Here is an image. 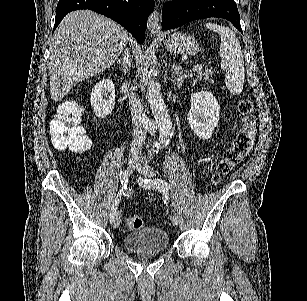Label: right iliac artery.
I'll use <instances>...</instances> for the list:
<instances>
[{"mask_svg":"<svg viewBox=\"0 0 307 301\" xmlns=\"http://www.w3.org/2000/svg\"><path fill=\"white\" fill-rule=\"evenodd\" d=\"M120 179L122 184L124 183V189L127 188V183H128V175L126 173V171H121L120 172ZM124 194V190L122 188V190H120V192L117 195V198L115 199V202H113V205L111 207V212H110V221L113 222L116 212H117V208H118V203H119V197H121V195Z\"/></svg>","mask_w":307,"mask_h":301,"instance_id":"right-iliac-artery-1","label":"right iliac artery"}]
</instances>
